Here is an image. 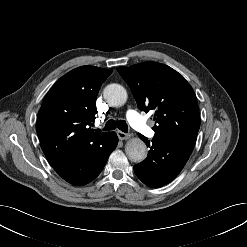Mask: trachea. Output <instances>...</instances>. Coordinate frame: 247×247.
Returning a JSON list of instances; mask_svg holds the SVG:
<instances>
[{
	"instance_id": "3493384b",
	"label": "trachea",
	"mask_w": 247,
	"mask_h": 247,
	"mask_svg": "<svg viewBox=\"0 0 247 247\" xmlns=\"http://www.w3.org/2000/svg\"><path fill=\"white\" fill-rule=\"evenodd\" d=\"M116 128H118L119 130H121L122 132H127L128 131V125L126 123L125 120H109L107 121L104 130L105 131H111V130H115Z\"/></svg>"
}]
</instances>
